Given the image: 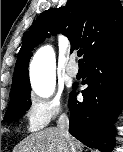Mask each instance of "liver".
Masks as SVG:
<instances>
[{
	"label": "liver",
	"instance_id": "6515ba94",
	"mask_svg": "<svg viewBox=\"0 0 123 152\" xmlns=\"http://www.w3.org/2000/svg\"><path fill=\"white\" fill-rule=\"evenodd\" d=\"M70 142L71 145L58 128H47L27 136L13 149V152H71V148H74L75 152H82L80 142L71 136Z\"/></svg>",
	"mask_w": 123,
	"mask_h": 152
}]
</instances>
